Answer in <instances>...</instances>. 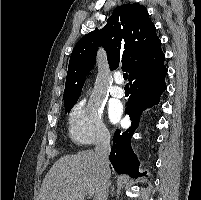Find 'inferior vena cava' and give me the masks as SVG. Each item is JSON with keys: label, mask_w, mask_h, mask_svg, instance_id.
<instances>
[{"label": "inferior vena cava", "mask_w": 201, "mask_h": 200, "mask_svg": "<svg viewBox=\"0 0 201 200\" xmlns=\"http://www.w3.org/2000/svg\"><path fill=\"white\" fill-rule=\"evenodd\" d=\"M110 135L106 134L100 138L96 147L95 154L97 162L102 172V183L98 200L108 199V189L110 185L109 153H110Z\"/></svg>", "instance_id": "obj_1"}]
</instances>
